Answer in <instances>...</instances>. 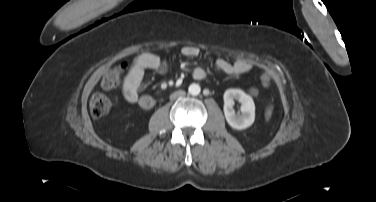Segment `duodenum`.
Wrapping results in <instances>:
<instances>
[{"mask_svg": "<svg viewBox=\"0 0 376 202\" xmlns=\"http://www.w3.org/2000/svg\"><path fill=\"white\" fill-rule=\"evenodd\" d=\"M140 106L144 109H149L153 106V101L149 97H144L140 100Z\"/></svg>", "mask_w": 376, "mask_h": 202, "instance_id": "duodenum-1", "label": "duodenum"}]
</instances>
